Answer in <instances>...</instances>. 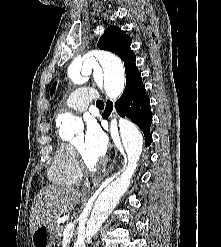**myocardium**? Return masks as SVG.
Listing matches in <instances>:
<instances>
[{
    "mask_svg": "<svg viewBox=\"0 0 221 247\" xmlns=\"http://www.w3.org/2000/svg\"><path fill=\"white\" fill-rule=\"evenodd\" d=\"M71 146H72V148H73V150H74V152L76 154V157H77V160H78L80 168H82L86 172H94V171H96V169L100 166L101 161L96 160V159L95 160H90L74 144L71 145Z\"/></svg>",
    "mask_w": 221,
    "mask_h": 247,
    "instance_id": "myocardium-1",
    "label": "myocardium"
}]
</instances>
